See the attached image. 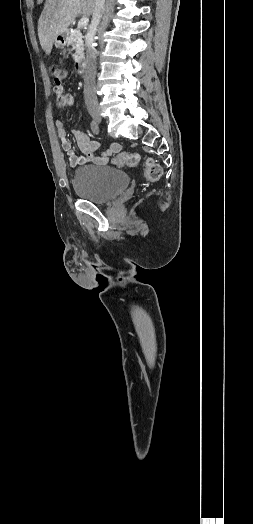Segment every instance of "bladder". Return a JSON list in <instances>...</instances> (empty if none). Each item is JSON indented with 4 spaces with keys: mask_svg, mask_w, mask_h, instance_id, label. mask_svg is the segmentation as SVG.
Wrapping results in <instances>:
<instances>
[{
    "mask_svg": "<svg viewBox=\"0 0 253 524\" xmlns=\"http://www.w3.org/2000/svg\"><path fill=\"white\" fill-rule=\"evenodd\" d=\"M129 184L128 175L109 166L88 165L74 171L73 189L81 200L106 204Z\"/></svg>",
    "mask_w": 253,
    "mask_h": 524,
    "instance_id": "obj_1",
    "label": "bladder"
}]
</instances>
